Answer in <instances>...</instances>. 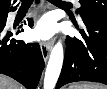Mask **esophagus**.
Wrapping results in <instances>:
<instances>
[{"label": "esophagus", "instance_id": "esophagus-1", "mask_svg": "<svg viewBox=\"0 0 107 89\" xmlns=\"http://www.w3.org/2000/svg\"><path fill=\"white\" fill-rule=\"evenodd\" d=\"M52 45H53L52 41L41 43L42 56L45 62L47 61L49 57L50 51L52 49Z\"/></svg>", "mask_w": 107, "mask_h": 89}]
</instances>
